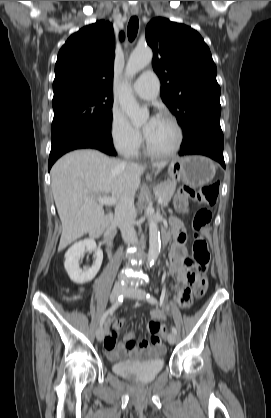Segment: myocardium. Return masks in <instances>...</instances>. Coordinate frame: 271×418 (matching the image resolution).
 Listing matches in <instances>:
<instances>
[{"label":"myocardium","instance_id":"f54148a6","mask_svg":"<svg viewBox=\"0 0 271 418\" xmlns=\"http://www.w3.org/2000/svg\"><path fill=\"white\" fill-rule=\"evenodd\" d=\"M159 117L168 120L174 126L176 130V134H177L176 143L171 149L167 151H157L151 147L147 137L145 136V149L149 155L154 156V157H159V158L170 157L174 155L175 153H177L182 146L183 138H184L183 129L180 123L178 122V120L174 116L168 113H162Z\"/></svg>","mask_w":271,"mask_h":418}]
</instances>
